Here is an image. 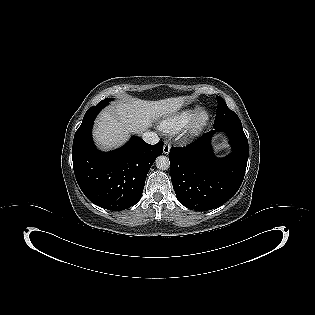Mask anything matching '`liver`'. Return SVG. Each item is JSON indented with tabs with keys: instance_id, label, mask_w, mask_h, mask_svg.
Masks as SVG:
<instances>
[{
	"instance_id": "liver-1",
	"label": "liver",
	"mask_w": 315,
	"mask_h": 315,
	"mask_svg": "<svg viewBox=\"0 0 315 315\" xmlns=\"http://www.w3.org/2000/svg\"><path fill=\"white\" fill-rule=\"evenodd\" d=\"M186 97H171L158 101L125 99L103 111L93 131L101 148L109 150L124 144L131 133L142 134L152 123L177 113Z\"/></svg>"
}]
</instances>
